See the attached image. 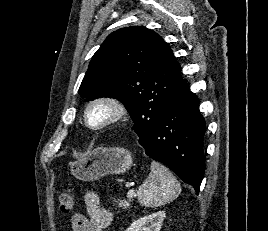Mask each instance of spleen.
<instances>
[{
	"mask_svg": "<svg viewBox=\"0 0 268 231\" xmlns=\"http://www.w3.org/2000/svg\"><path fill=\"white\" fill-rule=\"evenodd\" d=\"M181 192L180 183L167 167L159 162L151 163V172L137 191L138 202L146 207H158L176 199ZM119 206H129L120 201Z\"/></svg>",
	"mask_w": 268,
	"mask_h": 231,
	"instance_id": "spleen-1",
	"label": "spleen"
}]
</instances>
